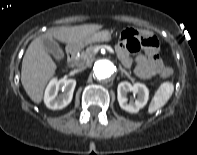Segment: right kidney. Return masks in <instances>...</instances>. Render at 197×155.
I'll list each match as a JSON object with an SVG mask.
<instances>
[{
	"mask_svg": "<svg viewBox=\"0 0 197 155\" xmlns=\"http://www.w3.org/2000/svg\"><path fill=\"white\" fill-rule=\"evenodd\" d=\"M75 86L76 80L74 79L53 78L45 90V105L51 110L66 107L72 101ZM59 89L63 91L61 94H58Z\"/></svg>",
	"mask_w": 197,
	"mask_h": 155,
	"instance_id": "ca27d5eb",
	"label": "right kidney"
}]
</instances>
